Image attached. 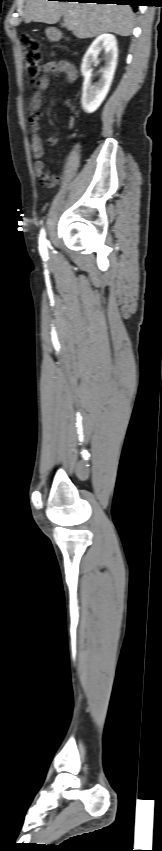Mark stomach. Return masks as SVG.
Returning a JSON list of instances; mask_svg holds the SVG:
<instances>
[{"label": "stomach", "mask_w": 162, "mask_h": 851, "mask_svg": "<svg viewBox=\"0 0 162 851\" xmlns=\"http://www.w3.org/2000/svg\"><path fill=\"white\" fill-rule=\"evenodd\" d=\"M46 32H47V34L51 37L52 30H51V29H47V31H46Z\"/></svg>", "instance_id": "obj_1"}]
</instances>
